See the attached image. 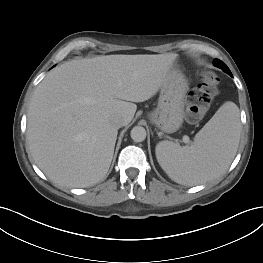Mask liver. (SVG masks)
Returning a JSON list of instances; mask_svg holds the SVG:
<instances>
[{"label": "liver", "mask_w": 263, "mask_h": 263, "mask_svg": "<svg viewBox=\"0 0 263 263\" xmlns=\"http://www.w3.org/2000/svg\"><path fill=\"white\" fill-rule=\"evenodd\" d=\"M177 54L106 55L65 62L37 86L27 117V142L54 183L88 187L107 174L118 128L153 97L174 71ZM123 125V126H124Z\"/></svg>", "instance_id": "1"}]
</instances>
